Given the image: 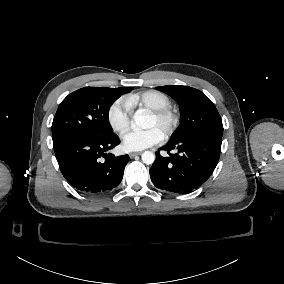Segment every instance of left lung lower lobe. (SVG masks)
Here are the masks:
<instances>
[{
	"instance_id": "1",
	"label": "left lung lower lobe",
	"mask_w": 284,
	"mask_h": 284,
	"mask_svg": "<svg viewBox=\"0 0 284 284\" xmlns=\"http://www.w3.org/2000/svg\"><path fill=\"white\" fill-rule=\"evenodd\" d=\"M222 137L194 134L179 140L170 139L161 148L170 157L157 158L150 169L153 184L162 190L186 194L202 185L213 173L220 157ZM175 150V154L170 151Z\"/></svg>"
}]
</instances>
